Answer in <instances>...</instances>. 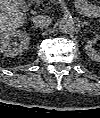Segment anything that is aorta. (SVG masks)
<instances>
[{
	"label": "aorta",
	"instance_id": "762f6f07",
	"mask_svg": "<svg viewBox=\"0 0 100 118\" xmlns=\"http://www.w3.org/2000/svg\"><path fill=\"white\" fill-rule=\"evenodd\" d=\"M75 28V22L72 17H63L59 21V30L64 34L73 32Z\"/></svg>",
	"mask_w": 100,
	"mask_h": 118
}]
</instances>
